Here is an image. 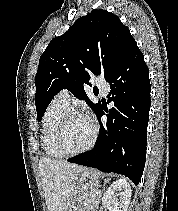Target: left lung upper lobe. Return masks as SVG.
<instances>
[{
    "mask_svg": "<svg viewBox=\"0 0 178 211\" xmlns=\"http://www.w3.org/2000/svg\"><path fill=\"white\" fill-rule=\"evenodd\" d=\"M129 29L118 16L106 10H93L79 18L63 35L54 38L39 59L35 77V104L38 122L54 95L70 90L97 113L84 90L92 74H110L136 46Z\"/></svg>",
    "mask_w": 178,
    "mask_h": 211,
    "instance_id": "obj_1",
    "label": "left lung upper lobe"
}]
</instances>
